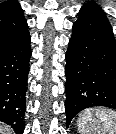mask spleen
I'll return each instance as SVG.
<instances>
[{
    "mask_svg": "<svg viewBox=\"0 0 116 134\" xmlns=\"http://www.w3.org/2000/svg\"><path fill=\"white\" fill-rule=\"evenodd\" d=\"M79 134H116V112L106 108H88L77 119Z\"/></svg>",
    "mask_w": 116,
    "mask_h": 134,
    "instance_id": "spleen-1",
    "label": "spleen"
}]
</instances>
